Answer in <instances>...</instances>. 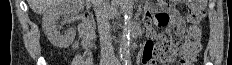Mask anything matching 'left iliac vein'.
<instances>
[{
    "label": "left iliac vein",
    "instance_id": "4c4485c4",
    "mask_svg": "<svg viewBox=\"0 0 232 65\" xmlns=\"http://www.w3.org/2000/svg\"><path fill=\"white\" fill-rule=\"evenodd\" d=\"M114 65H121L120 62H116Z\"/></svg>",
    "mask_w": 232,
    "mask_h": 65
}]
</instances>
